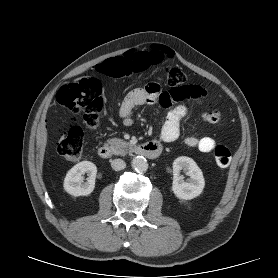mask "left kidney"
I'll return each mask as SVG.
<instances>
[{
  "label": "left kidney",
  "instance_id": "1",
  "mask_svg": "<svg viewBox=\"0 0 278 278\" xmlns=\"http://www.w3.org/2000/svg\"><path fill=\"white\" fill-rule=\"evenodd\" d=\"M181 170L190 177L188 182L180 175ZM173 176L172 191L178 199L191 200L202 193L205 186L204 176L193 159L186 156L176 158L173 162Z\"/></svg>",
  "mask_w": 278,
  "mask_h": 278
}]
</instances>
